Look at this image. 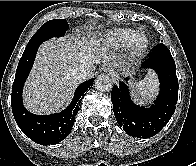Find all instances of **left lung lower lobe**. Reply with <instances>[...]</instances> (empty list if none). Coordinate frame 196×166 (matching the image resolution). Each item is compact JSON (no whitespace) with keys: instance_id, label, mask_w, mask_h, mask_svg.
Here are the masks:
<instances>
[{"instance_id":"obj_1","label":"left lung lower lobe","mask_w":196,"mask_h":166,"mask_svg":"<svg viewBox=\"0 0 196 166\" xmlns=\"http://www.w3.org/2000/svg\"><path fill=\"white\" fill-rule=\"evenodd\" d=\"M142 68L152 69L158 74L160 93L154 104L150 107L134 104L125 82L113 86L111 101L116 120L128 135L149 138L160 132L174 114L179 84L174 59L163 43L154 47Z\"/></svg>"}]
</instances>
